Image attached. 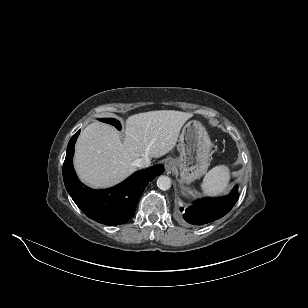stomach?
I'll list each match as a JSON object with an SVG mask.
<instances>
[{
    "label": "stomach",
    "instance_id": "1",
    "mask_svg": "<svg viewBox=\"0 0 308 308\" xmlns=\"http://www.w3.org/2000/svg\"><path fill=\"white\" fill-rule=\"evenodd\" d=\"M176 159L181 178L190 183L204 175L210 164L211 141L204 126L196 120L186 123L178 143Z\"/></svg>",
    "mask_w": 308,
    "mask_h": 308
}]
</instances>
